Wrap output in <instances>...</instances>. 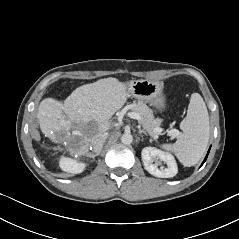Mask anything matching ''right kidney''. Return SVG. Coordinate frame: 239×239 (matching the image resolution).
Returning <instances> with one entry per match:
<instances>
[{"label": "right kidney", "mask_w": 239, "mask_h": 239, "mask_svg": "<svg viewBox=\"0 0 239 239\" xmlns=\"http://www.w3.org/2000/svg\"><path fill=\"white\" fill-rule=\"evenodd\" d=\"M60 168L68 173L78 174L84 171L86 164L74 159L63 157L59 162Z\"/></svg>", "instance_id": "1"}]
</instances>
